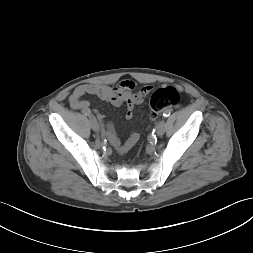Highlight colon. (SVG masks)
<instances>
[{
  "instance_id": "5ec220e1",
  "label": "colon",
  "mask_w": 253,
  "mask_h": 253,
  "mask_svg": "<svg viewBox=\"0 0 253 253\" xmlns=\"http://www.w3.org/2000/svg\"><path fill=\"white\" fill-rule=\"evenodd\" d=\"M179 100L180 94L175 87L167 86L156 89L150 99V117L155 119L165 109L176 106Z\"/></svg>"
}]
</instances>
